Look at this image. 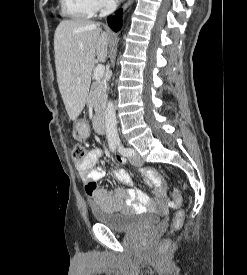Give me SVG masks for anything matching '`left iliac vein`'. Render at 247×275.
<instances>
[{
    "label": "left iliac vein",
    "mask_w": 247,
    "mask_h": 275,
    "mask_svg": "<svg viewBox=\"0 0 247 275\" xmlns=\"http://www.w3.org/2000/svg\"><path fill=\"white\" fill-rule=\"evenodd\" d=\"M132 150H133V155L130 158L131 164L135 166H141L143 164V160L140 158V156L134 149Z\"/></svg>",
    "instance_id": "4c4485c4"
}]
</instances>
